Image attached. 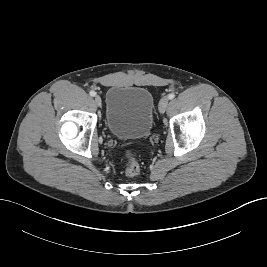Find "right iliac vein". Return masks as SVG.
Here are the masks:
<instances>
[{"label": "right iliac vein", "mask_w": 267, "mask_h": 267, "mask_svg": "<svg viewBox=\"0 0 267 267\" xmlns=\"http://www.w3.org/2000/svg\"><path fill=\"white\" fill-rule=\"evenodd\" d=\"M95 103L97 106H101V98L99 95H96L95 96Z\"/></svg>", "instance_id": "right-iliac-vein-1"}]
</instances>
